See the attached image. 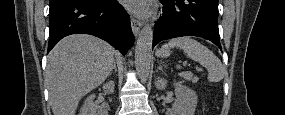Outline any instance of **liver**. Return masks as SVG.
I'll use <instances>...</instances> for the list:
<instances>
[{"label":"liver","instance_id":"obj_1","mask_svg":"<svg viewBox=\"0 0 285 115\" xmlns=\"http://www.w3.org/2000/svg\"><path fill=\"white\" fill-rule=\"evenodd\" d=\"M115 50L84 34L57 43L48 55L45 81L54 115H75L79 101L102 84L113 69Z\"/></svg>","mask_w":285,"mask_h":115}]
</instances>
